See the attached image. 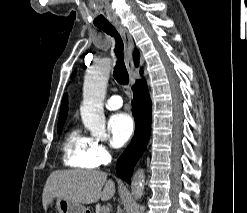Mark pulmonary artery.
<instances>
[{
	"label": "pulmonary artery",
	"instance_id": "e3ab8cb5",
	"mask_svg": "<svg viewBox=\"0 0 247 213\" xmlns=\"http://www.w3.org/2000/svg\"><path fill=\"white\" fill-rule=\"evenodd\" d=\"M122 105H123V100L118 95H114L110 97L105 103V107L109 110H117L121 108Z\"/></svg>",
	"mask_w": 247,
	"mask_h": 213
}]
</instances>
